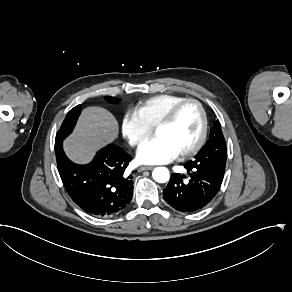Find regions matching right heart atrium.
<instances>
[{"label":"right heart atrium","instance_id":"obj_1","mask_svg":"<svg viewBox=\"0 0 292 292\" xmlns=\"http://www.w3.org/2000/svg\"><path fill=\"white\" fill-rule=\"evenodd\" d=\"M122 136L131 144L139 145L150 134L151 128L134 109H127L120 118Z\"/></svg>","mask_w":292,"mask_h":292}]
</instances>
